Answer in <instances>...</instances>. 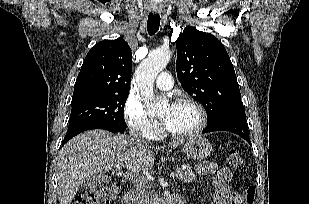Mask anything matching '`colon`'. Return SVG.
<instances>
[{
	"label": "colon",
	"instance_id": "colon-1",
	"mask_svg": "<svg viewBox=\"0 0 309 204\" xmlns=\"http://www.w3.org/2000/svg\"><path fill=\"white\" fill-rule=\"evenodd\" d=\"M227 162L231 167L238 170L244 167L240 153L234 148L227 151ZM119 189L120 187L117 183L102 184L78 196L73 204H109L111 200L116 198ZM255 193L256 190L253 185L246 187L245 204H254Z\"/></svg>",
	"mask_w": 309,
	"mask_h": 204
}]
</instances>
